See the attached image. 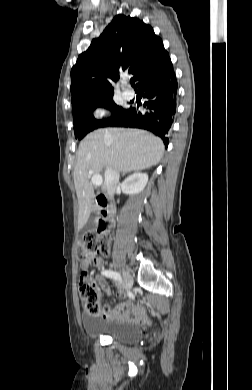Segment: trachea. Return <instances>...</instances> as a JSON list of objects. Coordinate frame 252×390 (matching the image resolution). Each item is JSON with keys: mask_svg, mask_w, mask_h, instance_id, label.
<instances>
[{"mask_svg": "<svg viewBox=\"0 0 252 390\" xmlns=\"http://www.w3.org/2000/svg\"><path fill=\"white\" fill-rule=\"evenodd\" d=\"M130 83H131V85H132L133 87H135V82H134V80H131Z\"/></svg>", "mask_w": 252, "mask_h": 390, "instance_id": "obj_1", "label": "trachea"}]
</instances>
